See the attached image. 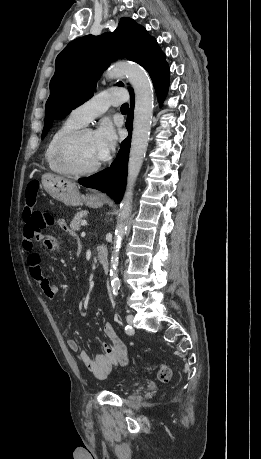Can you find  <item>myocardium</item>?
Wrapping results in <instances>:
<instances>
[{
	"label": "myocardium",
	"instance_id": "f54148a6",
	"mask_svg": "<svg viewBox=\"0 0 261 459\" xmlns=\"http://www.w3.org/2000/svg\"><path fill=\"white\" fill-rule=\"evenodd\" d=\"M87 133H92V130L86 127H80L63 136L57 145L56 161L68 175L89 176L96 173L101 168V163L88 169L79 168L74 163V147L78 140Z\"/></svg>",
	"mask_w": 261,
	"mask_h": 459
}]
</instances>
